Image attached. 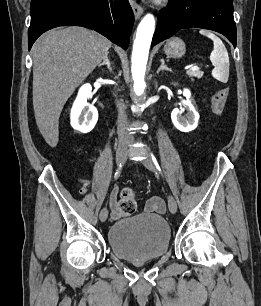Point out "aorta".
I'll use <instances>...</instances> for the list:
<instances>
[{
	"label": "aorta",
	"mask_w": 261,
	"mask_h": 306,
	"mask_svg": "<svg viewBox=\"0 0 261 306\" xmlns=\"http://www.w3.org/2000/svg\"><path fill=\"white\" fill-rule=\"evenodd\" d=\"M154 30V16L147 14L138 25L132 51L131 72L134 92L138 96L142 95L145 89L144 76Z\"/></svg>",
	"instance_id": "1"
}]
</instances>
